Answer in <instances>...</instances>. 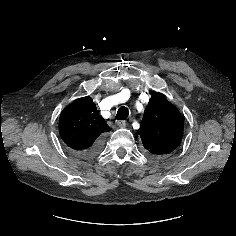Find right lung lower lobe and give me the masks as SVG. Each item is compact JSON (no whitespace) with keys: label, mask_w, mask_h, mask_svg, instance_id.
Here are the masks:
<instances>
[{"label":"right lung lower lobe","mask_w":236,"mask_h":236,"mask_svg":"<svg viewBox=\"0 0 236 236\" xmlns=\"http://www.w3.org/2000/svg\"><path fill=\"white\" fill-rule=\"evenodd\" d=\"M103 142L102 139H98L90 148L84 151H77L76 154L81 158H92L102 149Z\"/></svg>","instance_id":"1"}]
</instances>
